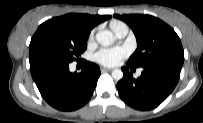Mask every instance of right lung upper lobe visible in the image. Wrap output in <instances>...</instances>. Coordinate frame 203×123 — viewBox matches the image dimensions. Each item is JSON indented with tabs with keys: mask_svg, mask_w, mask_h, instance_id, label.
<instances>
[{
	"mask_svg": "<svg viewBox=\"0 0 203 123\" xmlns=\"http://www.w3.org/2000/svg\"><path fill=\"white\" fill-rule=\"evenodd\" d=\"M62 17L76 21L80 26H82L89 32L93 27H95L99 23L111 18L110 15L100 16V15L75 14V13H70Z\"/></svg>",
	"mask_w": 203,
	"mask_h": 123,
	"instance_id": "right-lung-upper-lobe-1",
	"label": "right lung upper lobe"
}]
</instances>
